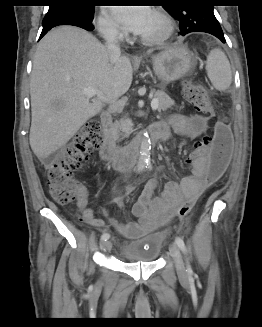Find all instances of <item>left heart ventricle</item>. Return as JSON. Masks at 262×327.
Returning a JSON list of instances; mask_svg holds the SVG:
<instances>
[{
    "label": "left heart ventricle",
    "mask_w": 262,
    "mask_h": 327,
    "mask_svg": "<svg viewBox=\"0 0 262 327\" xmlns=\"http://www.w3.org/2000/svg\"><path fill=\"white\" fill-rule=\"evenodd\" d=\"M162 25L156 16L152 13L145 28L139 33L140 35H157L161 33Z\"/></svg>",
    "instance_id": "b2bd125f"
}]
</instances>
